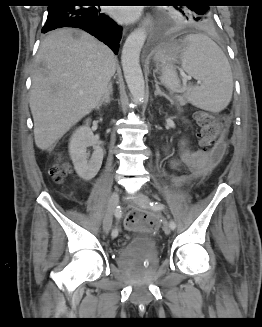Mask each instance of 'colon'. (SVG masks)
Returning <instances> with one entry per match:
<instances>
[{
  "label": "colon",
  "instance_id": "5ec220e1",
  "mask_svg": "<svg viewBox=\"0 0 262 327\" xmlns=\"http://www.w3.org/2000/svg\"><path fill=\"white\" fill-rule=\"evenodd\" d=\"M195 119L200 127L199 145L204 152L210 151L212 166L218 165L226 155V142L221 138L222 128L217 118L210 112L198 110ZM69 166L63 162H57L50 170V175L56 183L63 182L69 173ZM124 224L128 229H135L140 225L148 227L156 224V219L143 213H131L126 216Z\"/></svg>",
  "mask_w": 262,
  "mask_h": 327
}]
</instances>
